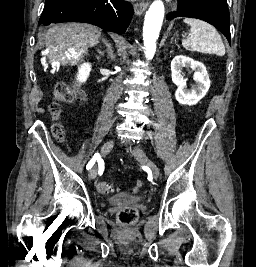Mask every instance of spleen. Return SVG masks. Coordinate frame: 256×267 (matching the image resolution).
<instances>
[{"label": "spleen", "mask_w": 256, "mask_h": 267, "mask_svg": "<svg viewBox=\"0 0 256 267\" xmlns=\"http://www.w3.org/2000/svg\"><path fill=\"white\" fill-rule=\"evenodd\" d=\"M184 24L190 26L187 38H183L182 46L189 52H201V54H216L225 56V46L223 40L210 24L195 20V18H185Z\"/></svg>", "instance_id": "3e777b00"}]
</instances>
